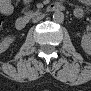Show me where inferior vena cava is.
Listing matches in <instances>:
<instances>
[{"instance_id": "obj_1", "label": "inferior vena cava", "mask_w": 91, "mask_h": 91, "mask_svg": "<svg viewBox=\"0 0 91 91\" xmlns=\"http://www.w3.org/2000/svg\"><path fill=\"white\" fill-rule=\"evenodd\" d=\"M41 19H44V14H38V16L33 17V22H39Z\"/></svg>"}]
</instances>
